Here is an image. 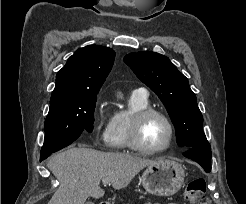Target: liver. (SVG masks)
Returning <instances> with one entry per match:
<instances>
[{
	"mask_svg": "<svg viewBox=\"0 0 246 204\" xmlns=\"http://www.w3.org/2000/svg\"><path fill=\"white\" fill-rule=\"evenodd\" d=\"M157 161L128 153H104L89 148H70L51 157L48 168L60 185L48 204H85L88 197L99 199L105 191L103 179L114 189L129 185L145 167Z\"/></svg>",
	"mask_w": 246,
	"mask_h": 204,
	"instance_id": "1",
	"label": "liver"
}]
</instances>
